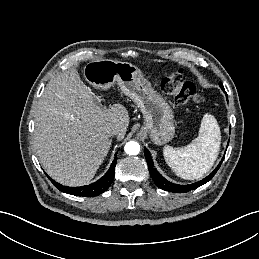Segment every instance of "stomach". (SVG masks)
<instances>
[{"instance_id": "1", "label": "stomach", "mask_w": 259, "mask_h": 259, "mask_svg": "<svg viewBox=\"0 0 259 259\" xmlns=\"http://www.w3.org/2000/svg\"><path fill=\"white\" fill-rule=\"evenodd\" d=\"M83 72L85 79L97 88L107 89L117 82L121 91L140 108L144 117L142 132L152 142L162 145L173 139V111L139 68L128 62L100 59L87 63Z\"/></svg>"}]
</instances>
